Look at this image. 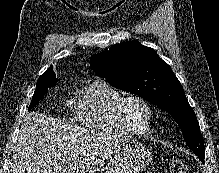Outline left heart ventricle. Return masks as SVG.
<instances>
[{"label": "left heart ventricle", "instance_id": "left-heart-ventricle-1", "mask_svg": "<svg viewBox=\"0 0 219 173\" xmlns=\"http://www.w3.org/2000/svg\"><path fill=\"white\" fill-rule=\"evenodd\" d=\"M124 116L126 121L135 129L139 131H145L147 129L149 114L141 103L129 101L125 105Z\"/></svg>", "mask_w": 219, "mask_h": 173}]
</instances>
